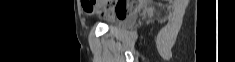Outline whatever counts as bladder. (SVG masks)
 Instances as JSON below:
<instances>
[{
    "instance_id": "1",
    "label": "bladder",
    "mask_w": 235,
    "mask_h": 62,
    "mask_svg": "<svg viewBox=\"0 0 235 62\" xmlns=\"http://www.w3.org/2000/svg\"><path fill=\"white\" fill-rule=\"evenodd\" d=\"M136 18L137 16L135 13H130L120 21H117L114 25L118 28H127L134 24Z\"/></svg>"
}]
</instances>
